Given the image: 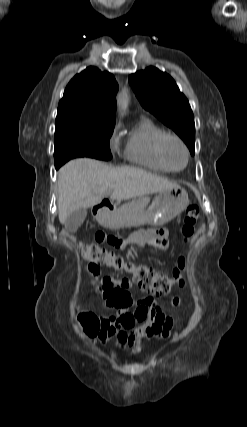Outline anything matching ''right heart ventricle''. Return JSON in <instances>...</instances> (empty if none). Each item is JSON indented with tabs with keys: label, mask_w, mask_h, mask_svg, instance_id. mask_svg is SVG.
<instances>
[{
	"label": "right heart ventricle",
	"mask_w": 247,
	"mask_h": 427,
	"mask_svg": "<svg viewBox=\"0 0 247 427\" xmlns=\"http://www.w3.org/2000/svg\"><path fill=\"white\" fill-rule=\"evenodd\" d=\"M165 133V130L151 119L140 118L126 139L124 147L126 159L155 172H170L157 152V143Z\"/></svg>",
	"instance_id": "1"
}]
</instances>
